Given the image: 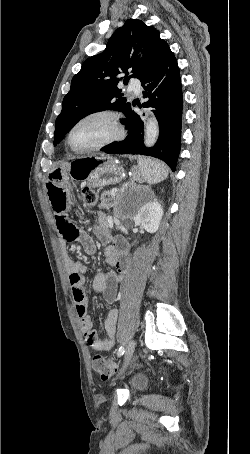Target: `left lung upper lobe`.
Returning a JSON list of instances; mask_svg holds the SVG:
<instances>
[{"instance_id":"5c2ea615","label":"left lung upper lobe","mask_w":250,"mask_h":454,"mask_svg":"<svg viewBox=\"0 0 250 454\" xmlns=\"http://www.w3.org/2000/svg\"><path fill=\"white\" fill-rule=\"evenodd\" d=\"M134 50L133 55L131 52ZM142 51L144 58L135 52ZM171 52L166 41L152 26L129 19L109 39L106 49L88 58L71 81L56 119L54 145H57L83 117L103 110H118L125 115L131 103L123 97L118 84L129 78L139 80L152 72ZM125 73L127 77H122ZM129 75V76H128ZM122 121V120H121Z\"/></svg>"}]
</instances>
